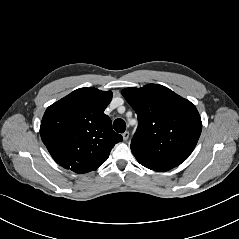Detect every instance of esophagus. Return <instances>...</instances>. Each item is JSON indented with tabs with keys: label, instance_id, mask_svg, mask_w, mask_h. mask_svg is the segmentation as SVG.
<instances>
[{
	"label": "esophagus",
	"instance_id": "1",
	"mask_svg": "<svg viewBox=\"0 0 239 239\" xmlns=\"http://www.w3.org/2000/svg\"><path fill=\"white\" fill-rule=\"evenodd\" d=\"M122 136H123V140H124V141H127L128 138H129V132H128V131H125Z\"/></svg>",
	"mask_w": 239,
	"mask_h": 239
}]
</instances>
